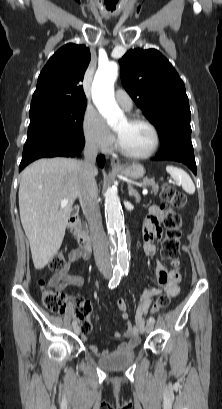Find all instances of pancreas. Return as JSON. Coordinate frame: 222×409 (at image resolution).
<instances>
[{"label":"pancreas","instance_id":"1","mask_svg":"<svg viewBox=\"0 0 222 409\" xmlns=\"http://www.w3.org/2000/svg\"><path fill=\"white\" fill-rule=\"evenodd\" d=\"M142 185L143 186H151L152 187L151 193H153L154 195H156L158 193L159 185H158V183L155 182L154 179L145 178L142 181Z\"/></svg>","mask_w":222,"mask_h":409}]
</instances>
